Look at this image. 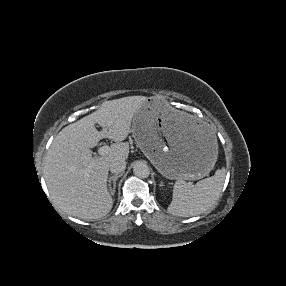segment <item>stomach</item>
Instances as JSON below:
<instances>
[{
	"label": "stomach",
	"mask_w": 286,
	"mask_h": 286,
	"mask_svg": "<svg viewBox=\"0 0 286 286\" xmlns=\"http://www.w3.org/2000/svg\"><path fill=\"white\" fill-rule=\"evenodd\" d=\"M131 132L144 155L168 179H201L218 157L217 131L158 94L138 103Z\"/></svg>",
	"instance_id": "1"
}]
</instances>
